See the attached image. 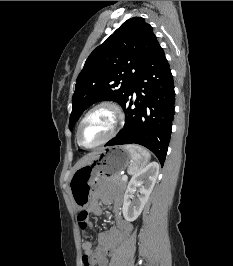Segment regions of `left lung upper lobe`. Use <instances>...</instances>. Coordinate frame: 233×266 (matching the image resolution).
Here are the masks:
<instances>
[{
  "label": "left lung upper lobe",
  "mask_w": 233,
  "mask_h": 266,
  "mask_svg": "<svg viewBox=\"0 0 233 266\" xmlns=\"http://www.w3.org/2000/svg\"><path fill=\"white\" fill-rule=\"evenodd\" d=\"M158 45L152 27L143 18L133 17L98 46L77 77L69 129L95 102L112 100L123 106Z\"/></svg>",
  "instance_id": "obj_1"
}]
</instances>
